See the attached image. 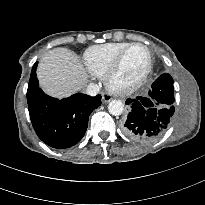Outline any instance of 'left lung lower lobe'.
<instances>
[{"label":"left lung lower lobe","mask_w":205,"mask_h":205,"mask_svg":"<svg viewBox=\"0 0 205 205\" xmlns=\"http://www.w3.org/2000/svg\"><path fill=\"white\" fill-rule=\"evenodd\" d=\"M130 112L122 124V131L138 142H152L161 137L169 127L174 114L169 92L154 87L147 97L128 99Z\"/></svg>","instance_id":"obj_1"}]
</instances>
